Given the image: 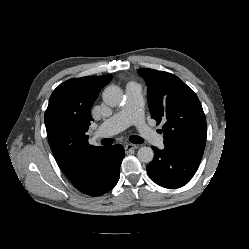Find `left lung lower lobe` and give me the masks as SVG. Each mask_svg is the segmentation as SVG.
<instances>
[{"label": "left lung lower lobe", "instance_id": "obj_1", "mask_svg": "<svg viewBox=\"0 0 249 249\" xmlns=\"http://www.w3.org/2000/svg\"><path fill=\"white\" fill-rule=\"evenodd\" d=\"M154 159L147 166L149 177L158 185L165 188H180L188 183L196 172L199 161L165 146L160 150L152 147Z\"/></svg>", "mask_w": 249, "mask_h": 249}]
</instances>
